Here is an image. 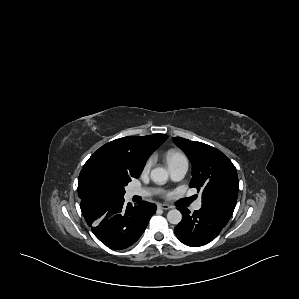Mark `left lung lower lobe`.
Here are the masks:
<instances>
[{
    "label": "left lung lower lobe",
    "instance_id": "0a47b994",
    "mask_svg": "<svg viewBox=\"0 0 299 299\" xmlns=\"http://www.w3.org/2000/svg\"><path fill=\"white\" fill-rule=\"evenodd\" d=\"M182 221L175 227L177 238L191 247L206 245L226 226L227 222L210 211L199 209L190 214L188 209H179Z\"/></svg>",
    "mask_w": 299,
    "mask_h": 299
}]
</instances>
